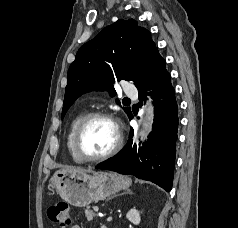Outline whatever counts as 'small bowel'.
Instances as JSON below:
<instances>
[{"instance_id": "small-bowel-1", "label": "small bowel", "mask_w": 238, "mask_h": 228, "mask_svg": "<svg viewBox=\"0 0 238 228\" xmlns=\"http://www.w3.org/2000/svg\"><path fill=\"white\" fill-rule=\"evenodd\" d=\"M72 228H80L78 225H74Z\"/></svg>"}]
</instances>
